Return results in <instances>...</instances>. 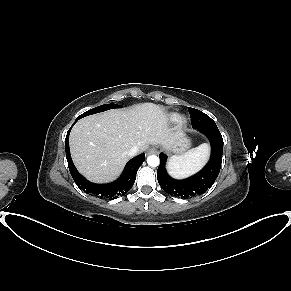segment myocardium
I'll list each match as a JSON object with an SVG mask.
<instances>
[{"instance_id":"obj_1","label":"myocardium","mask_w":291,"mask_h":291,"mask_svg":"<svg viewBox=\"0 0 291 291\" xmlns=\"http://www.w3.org/2000/svg\"><path fill=\"white\" fill-rule=\"evenodd\" d=\"M177 121L180 125H184L186 123V117L185 116H179L177 118Z\"/></svg>"}]
</instances>
